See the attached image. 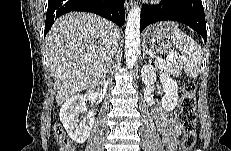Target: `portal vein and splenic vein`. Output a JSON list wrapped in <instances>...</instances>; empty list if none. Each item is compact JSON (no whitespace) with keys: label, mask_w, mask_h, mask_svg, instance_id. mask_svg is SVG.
<instances>
[{"label":"portal vein and splenic vein","mask_w":231,"mask_h":151,"mask_svg":"<svg viewBox=\"0 0 231 151\" xmlns=\"http://www.w3.org/2000/svg\"><path fill=\"white\" fill-rule=\"evenodd\" d=\"M177 53H171L167 56V62L173 61L177 57ZM158 61L162 62L159 58H156Z\"/></svg>","instance_id":"portal-vein-and-splenic-vein-1"}]
</instances>
